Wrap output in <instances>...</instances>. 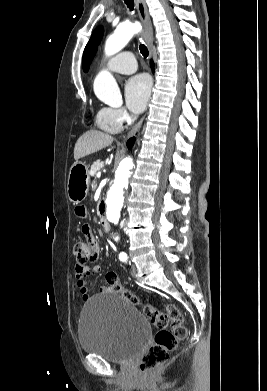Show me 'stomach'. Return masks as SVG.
Listing matches in <instances>:
<instances>
[{
	"mask_svg": "<svg viewBox=\"0 0 267 391\" xmlns=\"http://www.w3.org/2000/svg\"><path fill=\"white\" fill-rule=\"evenodd\" d=\"M90 176L88 166L82 162H76L69 171L67 180V196L71 202H82L88 193Z\"/></svg>",
	"mask_w": 267,
	"mask_h": 391,
	"instance_id": "obj_1",
	"label": "stomach"
}]
</instances>
